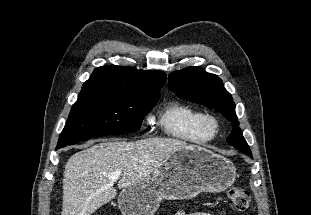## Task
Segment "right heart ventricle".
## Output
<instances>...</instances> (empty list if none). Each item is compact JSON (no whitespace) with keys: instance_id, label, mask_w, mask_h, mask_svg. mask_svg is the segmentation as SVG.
I'll list each match as a JSON object with an SVG mask.
<instances>
[{"instance_id":"right-heart-ventricle-1","label":"right heart ventricle","mask_w":311,"mask_h":215,"mask_svg":"<svg viewBox=\"0 0 311 215\" xmlns=\"http://www.w3.org/2000/svg\"><path fill=\"white\" fill-rule=\"evenodd\" d=\"M206 114L190 105L172 102L158 115V123L170 137L202 144L212 139L213 134L204 127Z\"/></svg>"}]
</instances>
